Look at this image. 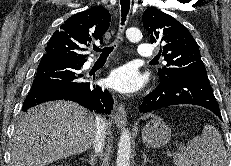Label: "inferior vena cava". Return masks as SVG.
<instances>
[{
    "instance_id": "602c4592",
    "label": "inferior vena cava",
    "mask_w": 231,
    "mask_h": 166,
    "mask_svg": "<svg viewBox=\"0 0 231 166\" xmlns=\"http://www.w3.org/2000/svg\"><path fill=\"white\" fill-rule=\"evenodd\" d=\"M97 133L94 140V150L97 155L102 154L106 138V120L102 116L96 117Z\"/></svg>"
}]
</instances>
